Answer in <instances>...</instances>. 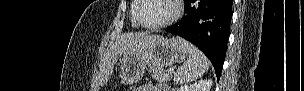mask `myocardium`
Masks as SVG:
<instances>
[{
    "label": "myocardium",
    "instance_id": "1",
    "mask_svg": "<svg viewBox=\"0 0 304 91\" xmlns=\"http://www.w3.org/2000/svg\"><path fill=\"white\" fill-rule=\"evenodd\" d=\"M172 4L174 5V13L173 15L168 18L167 20L157 23V24H146L142 21L140 17V11L143 7L144 0H137L136 1V8H135V20L136 22L143 28L146 29H161L168 27L174 23H176L182 16L184 11L183 1L182 0H171Z\"/></svg>",
    "mask_w": 304,
    "mask_h": 91
}]
</instances>
